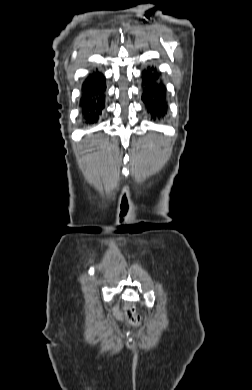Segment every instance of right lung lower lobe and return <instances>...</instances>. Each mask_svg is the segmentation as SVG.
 Here are the masks:
<instances>
[{
  "mask_svg": "<svg viewBox=\"0 0 252 390\" xmlns=\"http://www.w3.org/2000/svg\"><path fill=\"white\" fill-rule=\"evenodd\" d=\"M105 77L100 72H93L83 85L80 99L81 113L87 124L97 122L105 107Z\"/></svg>",
  "mask_w": 252,
  "mask_h": 390,
  "instance_id": "obj_1",
  "label": "right lung lower lobe"
}]
</instances>
